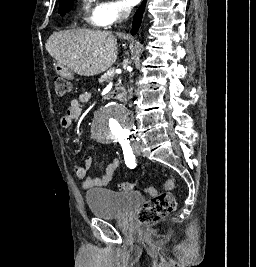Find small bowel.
<instances>
[{
	"label": "small bowel",
	"instance_id": "c3829d8e",
	"mask_svg": "<svg viewBox=\"0 0 256 267\" xmlns=\"http://www.w3.org/2000/svg\"><path fill=\"white\" fill-rule=\"evenodd\" d=\"M91 99L90 92H82L77 99L70 102L65 114L60 120V125L64 128L70 127L72 123L79 118L82 113V106L88 103ZM120 166L118 158H114L106 167L104 173L99 178H91L88 172L92 167V159L87 156L84 160L83 166H75L74 173L78 179L82 181V186L86 189L93 187H105L112 180L115 172Z\"/></svg>",
	"mask_w": 256,
	"mask_h": 267
}]
</instances>
